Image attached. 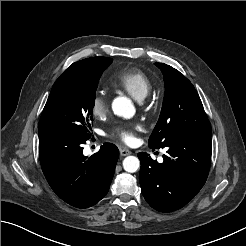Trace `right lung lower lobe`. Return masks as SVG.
<instances>
[{
  "label": "right lung lower lobe",
  "instance_id": "right-lung-lower-lobe-1",
  "mask_svg": "<svg viewBox=\"0 0 246 246\" xmlns=\"http://www.w3.org/2000/svg\"><path fill=\"white\" fill-rule=\"evenodd\" d=\"M87 139L77 133L39 132L43 173L53 191L77 208L91 207L107 194L119 157L111 143H104L90 158L84 156Z\"/></svg>",
  "mask_w": 246,
  "mask_h": 246
}]
</instances>
